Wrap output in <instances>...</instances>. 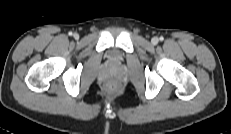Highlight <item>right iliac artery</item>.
Masks as SVG:
<instances>
[{
  "label": "right iliac artery",
  "instance_id": "82829eb1",
  "mask_svg": "<svg viewBox=\"0 0 231 134\" xmlns=\"http://www.w3.org/2000/svg\"><path fill=\"white\" fill-rule=\"evenodd\" d=\"M69 35H70V36H72V35H73V33H72V32H69Z\"/></svg>",
  "mask_w": 231,
  "mask_h": 134
}]
</instances>
